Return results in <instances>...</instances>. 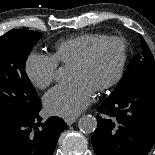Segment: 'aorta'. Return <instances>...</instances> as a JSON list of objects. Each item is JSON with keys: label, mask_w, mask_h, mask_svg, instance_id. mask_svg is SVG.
<instances>
[{"label": "aorta", "mask_w": 155, "mask_h": 155, "mask_svg": "<svg viewBox=\"0 0 155 155\" xmlns=\"http://www.w3.org/2000/svg\"><path fill=\"white\" fill-rule=\"evenodd\" d=\"M57 80L59 82L65 81L66 74L64 72H60L58 74ZM78 127L83 132L91 133L97 128V120L92 115H83L78 121Z\"/></svg>", "instance_id": "aorta-1"}]
</instances>
